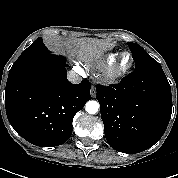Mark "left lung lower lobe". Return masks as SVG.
<instances>
[{
	"label": "left lung lower lobe",
	"instance_id": "obj_1",
	"mask_svg": "<svg viewBox=\"0 0 178 178\" xmlns=\"http://www.w3.org/2000/svg\"><path fill=\"white\" fill-rule=\"evenodd\" d=\"M105 137L122 153L153 146L164 134L172 112L170 84L161 65H148L110 87L96 85Z\"/></svg>",
	"mask_w": 178,
	"mask_h": 178
}]
</instances>
